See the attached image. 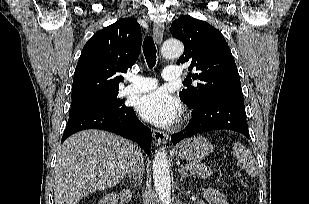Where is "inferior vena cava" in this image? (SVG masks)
I'll use <instances>...</instances> for the list:
<instances>
[{"mask_svg": "<svg viewBox=\"0 0 309 204\" xmlns=\"http://www.w3.org/2000/svg\"><path fill=\"white\" fill-rule=\"evenodd\" d=\"M144 169V161L141 153H138L136 157L130 163V166L127 170L129 177H132L133 180L141 179Z\"/></svg>", "mask_w": 309, "mask_h": 204, "instance_id": "1", "label": "inferior vena cava"}]
</instances>
